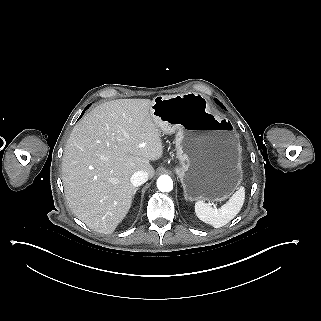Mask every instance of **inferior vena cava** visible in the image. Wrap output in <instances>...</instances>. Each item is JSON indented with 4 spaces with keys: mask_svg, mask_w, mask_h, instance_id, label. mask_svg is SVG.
I'll list each match as a JSON object with an SVG mask.
<instances>
[{
    "mask_svg": "<svg viewBox=\"0 0 321 321\" xmlns=\"http://www.w3.org/2000/svg\"><path fill=\"white\" fill-rule=\"evenodd\" d=\"M148 180V174L144 171H136L130 178L131 183L137 187Z\"/></svg>",
    "mask_w": 321,
    "mask_h": 321,
    "instance_id": "1",
    "label": "inferior vena cava"
}]
</instances>
